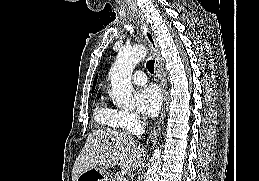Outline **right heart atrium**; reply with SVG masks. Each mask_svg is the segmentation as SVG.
<instances>
[{
  "label": "right heart atrium",
  "instance_id": "d8ad5b80",
  "mask_svg": "<svg viewBox=\"0 0 259 181\" xmlns=\"http://www.w3.org/2000/svg\"><path fill=\"white\" fill-rule=\"evenodd\" d=\"M121 119L124 128L130 132H135L141 125L140 118L133 112L121 111Z\"/></svg>",
  "mask_w": 259,
  "mask_h": 181
}]
</instances>
